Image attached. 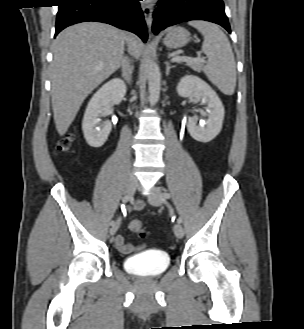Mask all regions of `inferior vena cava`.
<instances>
[{
  "label": "inferior vena cava",
  "mask_w": 304,
  "mask_h": 329,
  "mask_svg": "<svg viewBox=\"0 0 304 329\" xmlns=\"http://www.w3.org/2000/svg\"><path fill=\"white\" fill-rule=\"evenodd\" d=\"M121 67L123 69V77H125V79L129 82L130 81V75H131L132 72H130L129 64H128V61L125 57L122 58Z\"/></svg>",
  "instance_id": "inferior-vena-cava-1"
}]
</instances>
